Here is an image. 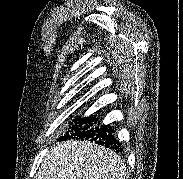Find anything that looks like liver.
<instances>
[{"instance_id":"1","label":"liver","mask_w":183,"mask_h":179,"mask_svg":"<svg viewBox=\"0 0 183 179\" xmlns=\"http://www.w3.org/2000/svg\"><path fill=\"white\" fill-rule=\"evenodd\" d=\"M125 169L116 152L89 141L67 140L46 153L37 179H125Z\"/></svg>"}]
</instances>
